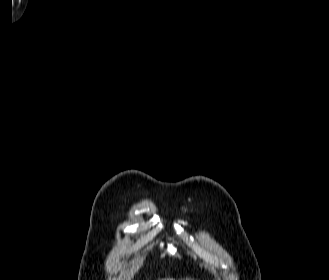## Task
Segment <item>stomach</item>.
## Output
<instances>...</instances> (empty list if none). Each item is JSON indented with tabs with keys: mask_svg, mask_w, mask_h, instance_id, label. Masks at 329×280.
Returning <instances> with one entry per match:
<instances>
[{
	"mask_svg": "<svg viewBox=\"0 0 329 280\" xmlns=\"http://www.w3.org/2000/svg\"><path fill=\"white\" fill-rule=\"evenodd\" d=\"M182 280H194V279L186 277L185 279H182Z\"/></svg>",
	"mask_w": 329,
	"mask_h": 280,
	"instance_id": "obj_1",
	"label": "stomach"
}]
</instances>
